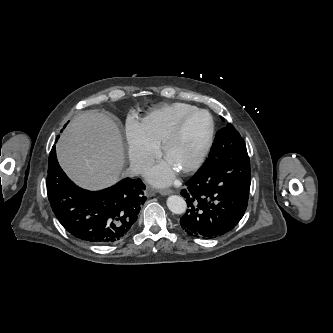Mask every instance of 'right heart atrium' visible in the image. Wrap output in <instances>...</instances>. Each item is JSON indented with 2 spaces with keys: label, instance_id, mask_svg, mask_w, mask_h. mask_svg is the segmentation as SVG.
<instances>
[{
  "label": "right heart atrium",
  "instance_id": "right-heart-atrium-1",
  "mask_svg": "<svg viewBox=\"0 0 333 333\" xmlns=\"http://www.w3.org/2000/svg\"><path fill=\"white\" fill-rule=\"evenodd\" d=\"M127 157L132 169L140 173L152 164L158 155V147L146 136L142 124L133 118L125 123Z\"/></svg>",
  "mask_w": 333,
  "mask_h": 333
}]
</instances>
